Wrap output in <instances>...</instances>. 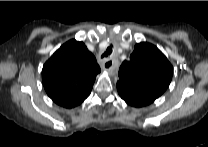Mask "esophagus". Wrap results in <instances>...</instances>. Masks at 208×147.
Instances as JSON below:
<instances>
[{"label":"esophagus","instance_id":"esophagus-1","mask_svg":"<svg viewBox=\"0 0 208 147\" xmlns=\"http://www.w3.org/2000/svg\"><path fill=\"white\" fill-rule=\"evenodd\" d=\"M102 67H103V70L107 71L111 75L115 74L116 72L115 65L113 61H111L110 59L105 60Z\"/></svg>","mask_w":208,"mask_h":147}]
</instances>
